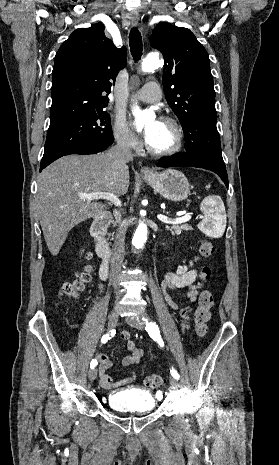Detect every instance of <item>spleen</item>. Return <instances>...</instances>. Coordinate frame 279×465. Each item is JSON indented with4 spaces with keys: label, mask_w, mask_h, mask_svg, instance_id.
<instances>
[{
    "label": "spleen",
    "mask_w": 279,
    "mask_h": 465,
    "mask_svg": "<svg viewBox=\"0 0 279 465\" xmlns=\"http://www.w3.org/2000/svg\"><path fill=\"white\" fill-rule=\"evenodd\" d=\"M206 188H210L207 185ZM203 220L198 228L212 238L223 236L226 228V212L222 199L219 196H207L201 203Z\"/></svg>",
    "instance_id": "3e777b00"
}]
</instances>
